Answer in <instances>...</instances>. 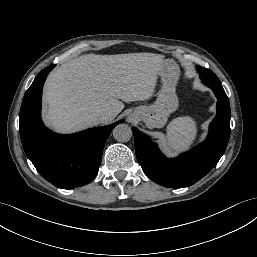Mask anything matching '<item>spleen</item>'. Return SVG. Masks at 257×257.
<instances>
[{
  "instance_id": "1",
  "label": "spleen",
  "mask_w": 257,
  "mask_h": 257,
  "mask_svg": "<svg viewBox=\"0 0 257 257\" xmlns=\"http://www.w3.org/2000/svg\"><path fill=\"white\" fill-rule=\"evenodd\" d=\"M197 136V125L186 116L175 119L167 129L166 141L170 149L180 152L188 149Z\"/></svg>"
}]
</instances>
